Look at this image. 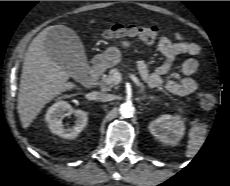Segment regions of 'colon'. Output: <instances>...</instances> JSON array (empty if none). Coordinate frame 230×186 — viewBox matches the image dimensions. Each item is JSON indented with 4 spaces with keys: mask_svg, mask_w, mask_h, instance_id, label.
Instances as JSON below:
<instances>
[{
    "mask_svg": "<svg viewBox=\"0 0 230 186\" xmlns=\"http://www.w3.org/2000/svg\"><path fill=\"white\" fill-rule=\"evenodd\" d=\"M162 29L158 26H134L125 24H114L100 33V38L113 40L119 38H137L145 43H154L159 40ZM198 99L202 107L209 109L216 103V96L211 92H200Z\"/></svg>",
    "mask_w": 230,
    "mask_h": 186,
    "instance_id": "colon-1",
    "label": "colon"
}]
</instances>
